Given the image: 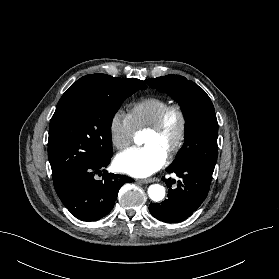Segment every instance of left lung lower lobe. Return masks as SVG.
Segmentation results:
<instances>
[{
    "mask_svg": "<svg viewBox=\"0 0 279 279\" xmlns=\"http://www.w3.org/2000/svg\"><path fill=\"white\" fill-rule=\"evenodd\" d=\"M166 171L175 173L180 180L176 182L163 177L162 180L169 187L168 198L162 203L150 204L149 211L163 222H181L192 215L205 200L212 173L192 165L169 166Z\"/></svg>",
    "mask_w": 279,
    "mask_h": 279,
    "instance_id": "obj_1",
    "label": "left lung lower lobe"
}]
</instances>
